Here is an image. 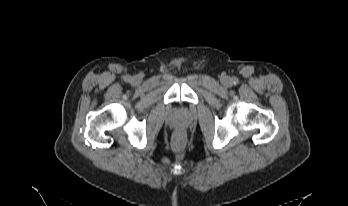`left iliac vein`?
Instances as JSON below:
<instances>
[{"instance_id":"4c4485c4","label":"left iliac vein","mask_w":348,"mask_h":206,"mask_svg":"<svg viewBox=\"0 0 348 206\" xmlns=\"http://www.w3.org/2000/svg\"><path fill=\"white\" fill-rule=\"evenodd\" d=\"M222 83H223L224 85H228V84H229V78H228V77H223V78H222Z\"/></svg>"}]
</instances>
